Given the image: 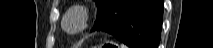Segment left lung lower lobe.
Listing matches in <instances>:
<instances>
[{
    "instance_id": "obj_1",
    "label": "left lung lower lobe",
    "mask_w": 213,
    "mask_h": 48,
    "mask_svg": "<svg viewBox=\"0 0 213 48\" xmlns=\"http://www.w3.org/2000/svg\"><path fill=\"white\" fill-rule=\"evenodd\" d=\"M163 0H110L92 31H106L130 48H157Z\"/></svg>"
}]
</instances>
